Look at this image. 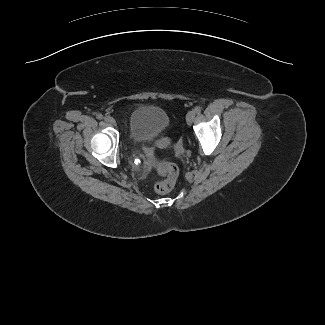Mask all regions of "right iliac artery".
Listing matches in <instances>:
<instances>
[{"instance_id": "right-iliac-artery-1", "label": "right iliac artery", "mask_w": 325, "mask_h": 325, "mask_svg": "<svg viewBox=\"0 0 325 325\" xmlns=\"http://www.w3.org/2000/svg\"><path fill=\"white\" fill-rule=\"evenodd\" d=\"M96 118L99 119V120H102L103 119V115L102 114H97L96 115Z\"/></svg>"}]
</instances>
